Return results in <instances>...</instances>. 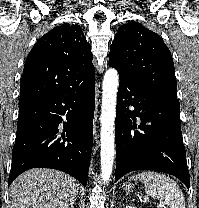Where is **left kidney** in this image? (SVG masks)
I'll use <instances>...</instances> for the list:
<instances>
[{
    "instance_id": "5707ae66",
    "label": "left kidney",
    "mask_w": 199,
    "mask_h": 208,
    "mask_svg": "<svg viewBox=\"0 0 199 208\" xmlns=\"http://www.w3.org/2000/svg\"><path fill=\"white\" fill-rule=\"evenodd\" d=\"M126 208H136V207L132 206V205H128V206H126Z\"/></svg>"
}]
</instances>
